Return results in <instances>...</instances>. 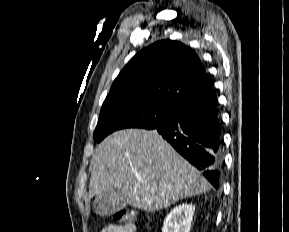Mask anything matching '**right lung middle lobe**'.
<instances>
[{
	"label": "right lung middle lobe",
	"mask_w": 289,
	"mask_h": 232,
	"mask_svg": "<svg viewBox=\"0 0 289 232\" xmlns=\"http://www.w3.org/2000/svg\"><path fill=\"white\" fill-rule=\"evenodd\" d=\"M178 110L140 96L105 99L94 139L100 142L110 133L124 128H157L174 119Z\"/></svg>",
	"instance_id": "obj_1"
}]
</instances>
